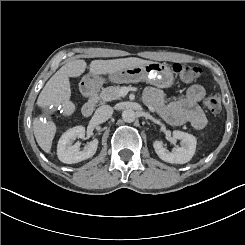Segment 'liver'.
<instances>
[{"instance_id":"obj_1","label":"liver","mask_w":245,"mask_h":245,"mask_svg":"<svg viewBox=\"0 0 245 245\" xmlns=\"http://www.w3.org/2000/svg\"><path fill=\"white\" fill-rule=\"evenodd\" d=\"M149 61L140 58H123L114 60H95L91 62L90 70L92 73L106 74L118 71L125 67L133 65H141ZM87 64L84 60H74L64 65L57 73L47 82L41 91L37 103L41 106H60L64 112L71 113L73 104L69 101L70 82L69 77L79 76L86 68ZM33 129L36 140L40 147L49 152L52 139L56 131L54 123L42 124L41 121L35 119Z\"/></svg>"}]
</instances>
